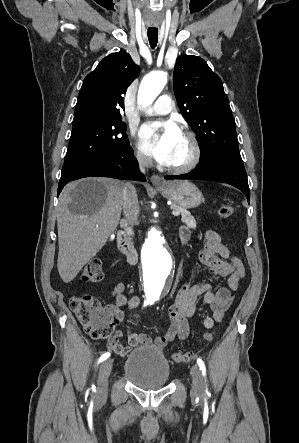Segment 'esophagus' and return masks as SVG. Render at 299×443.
<instances>
[{
  "instance_id": "1",
  "label": "esophagus",
  "mask_w": 299,
  "mask_h": 443,
  "mask_svg": "<svg viewBox=\"0 0 299 443\" xmlns=\"http://www.w3.org/2000/svg\"><path fill=\"white\" fill-rule=\"evenodd\" d=\"M151 182L154 186H164L165 185V182L163 181V179L158 175H152Z\"/></svg>"
}]
</instances>
